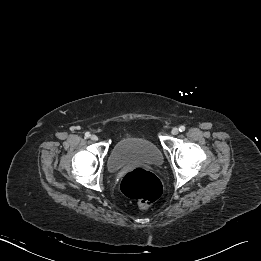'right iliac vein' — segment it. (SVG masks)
Wrapping results in <instances>:
<instances>
[{
  "label": "right iliac vein",
  "mask_w": 261,
  "mask_h": 261,
  "mask_svg": "<svg viewBox=\"0 0 261 261\" xmlns=\"http://www.w3.org/2000/svg\"><path fill=\"white\" fill-rule=\"evenodd\" d=\"M91 140L97 141L98 140V136L95 135V134L91 135Z\"/></svg>",
  "instance_id": "obj_1"
}]
</instances>
